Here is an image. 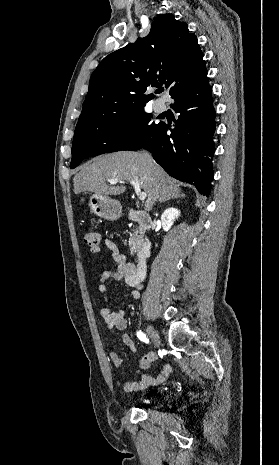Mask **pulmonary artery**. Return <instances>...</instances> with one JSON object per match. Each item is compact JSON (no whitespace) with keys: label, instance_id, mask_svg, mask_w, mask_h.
<instances>
[{"label":"pulmonary artery","instance_id":"1","mask_svg":"<svg viewBox=\"0 0 279 465\" xmlns=\"http://www.w3.org/2000/svg\"><path fill=\"white\" fill-rule=\"evenodd\" d=\"M154 108L157 112H163L166 110V103L162 99H158L154 103Z\"/></svg>","mask_w":279,"mask_h":465}]
</instances>
